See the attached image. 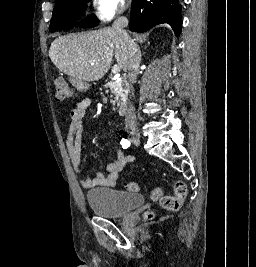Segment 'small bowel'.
Wrapping results in <instances>:
<instances>
[{
    "mask_svg": "<svg viewBox=\"0 0 256 267\" xmlns=\"http://www.w3.org/2000/svg\"><path fill=\"white\" fill-rule=\"evenodd\" d=\"M89 106L90 100L85 98L78 102L69 113L70 124L66 134V149L72 167L79 175L83 174L80 156L84 150V145L81 136L84 128L83 121ZM134 159L132 155H125L122 151H117L114 161L107 166V175L98 171L93 176H83L81 179L82 187L85 189L115 187L120 172L125 168L127 163L134 161Z\"/></svg>",
    "mask_w": 256,
    "mask_h": 267,
    "instance_id": "obj_1",
    "label": "small bowel"
}]
</instances>
